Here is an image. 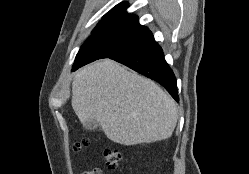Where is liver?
<instances>
[{"mask_svg": "<svg viewBox=\"0 0 249 174\" xmlns=\"http://www.w3.org/2000/svg\"><path fill=\"white\" fill-rule=\"evenodd\" d=\"M71 104L82 124L96 120L108 139L127 146L169 138L178 119L176 103L155 82L110 59L75 73Z\"/></svg>", "mask_w": 249, "mask_h": 174, "instance_id": "obj_1", "label": "liver"}]
</instances>
